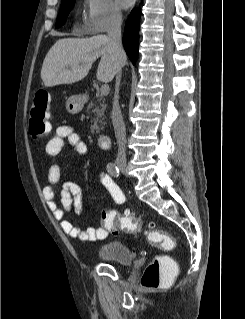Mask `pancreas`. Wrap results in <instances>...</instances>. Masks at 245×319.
I'll return each instance as SVG.
<instances>
[{
    "mask_svg": "<svg viewBox=\"0 0 245 319\" xmlns=\"http://www.w3.org/2000/svg\"><path fill=\"white\" fill-rule=\"evenodd\" d=\"M107 105L105 104L103 95L97 96L96 101H91L87 106V112L92 113L94 115L91 125V132L99 133L100 128L97 125L99 123H103L104 113Z\"/></svg>",
    "mask_w": 245,
    "mask_h": 319,
    "instance_id": "pancreas-1",
    "label": "pancreas"
}]
</instances>
